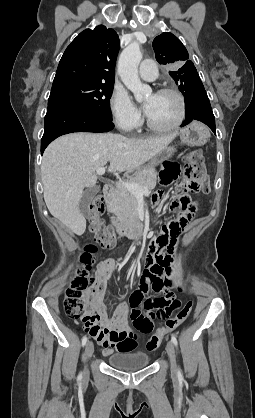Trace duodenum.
<instances>
[{"mask_svg": "<svg viewBox=\"0 0 255 418\" xmlns=\"http://www.w3.org/2000/svg\"><path fill=\"white\" fill-rule=\"evenodd\" d=\"M115 193L116 187L114 184L108 183L104 185L103 194L107 201H110ZM112 227L120 236L128 238H135L143 235L145 232V225L138 214L123 220H113Z\"/></svg>", "mask_w": 255, "mask_h": 418, "instance_id": "410a0bca", "label": "duodenum"}]
</instances>
